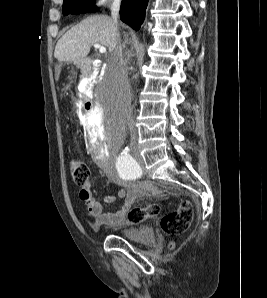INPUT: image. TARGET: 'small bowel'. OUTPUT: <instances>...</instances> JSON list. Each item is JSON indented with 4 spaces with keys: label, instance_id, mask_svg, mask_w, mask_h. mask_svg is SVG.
<instances>
[{
    "label": "small bowel",
    "instance_id": "small-bowel-1",
    "mask_svg": "<svg viewBox=\"0 0 267 298\" xmlns=\"http://www.w3.org/2000/svg\"><path fill=\"white\" fill-rule=\"evenodd\" d=\"M109 179L119 185L124 186L126 183L117 175L111 174ZM138 194V188L133 185H128V190L119 188L116 190V196L123 199V204L113 212L103 213L102 204L93 197L91 192V184L87 182L79 192L80 200L85 204L89 217L92 220L93 229L97 230L102 226L106 227H121L126 224V215L134 203ZM115 195L106 196L105 202L110 204L114 202Z\"/></svg>",
    "mask_w": 267,
    "mask_h": 298
}]
</instances>
